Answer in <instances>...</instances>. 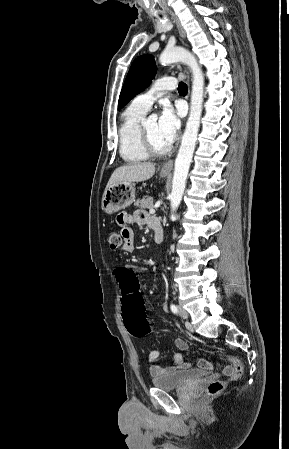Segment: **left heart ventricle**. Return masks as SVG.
<instances>
[{"label": "left heart ventricle", "instance_id": "b2bd125f", "mask_svg": "<svg viewBox=\"0 0 289 449\" xmlns=\"http://www.w3.org/2000/svg\"><path fill=\"white\" fill-rule=\"evenodd\" d=\"M147 129L151 138V141L156 149L158 150H164L166 149L170 144L164 139L162 136L159 126H158V119L157 118H150L147 120Z\"/></svg>", "mask_w": 289, "mask_h": 449}]
</instances>
